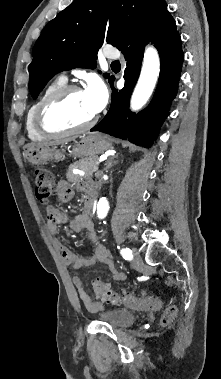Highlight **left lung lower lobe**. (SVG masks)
Instances as JSON below:
<instances>
[{
	"label": "left lung lower lobe",
	"instance_id": "obj_1",
	"mask_svg": "<svg viewBox=\"0 0 221 379\" xmlns=\"http://www.w3.org/2000/svg\"><path fill=\"white\" fill-rule=\"evenodd\" d=\"M151 42L159 52L161 69L154 97L137 115L129 111L132 90L139 77L144 47ZM125 55V86L119 92L112 86L111 106L106 116L91 131H101L117 138L150 147L159 127L168 116L175 98L183 62L181 38L165 1H161L145 26L124 41L119 49Z\"/></svg>",
	"mask_w": 221,
	"mask_h": 379
}]
</instances>
